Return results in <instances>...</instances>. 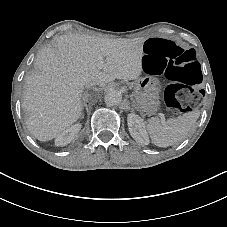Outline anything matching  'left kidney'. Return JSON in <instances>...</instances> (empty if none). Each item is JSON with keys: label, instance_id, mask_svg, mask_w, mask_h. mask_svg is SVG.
I'll use <instances>...</instances> for the list:
<instances>
[{"label": "left kidney", "instance_id": "obj_1", "mask_svg": "<svg viewBox=\"0 0 227 227\" xmlns=\"http://www.w3.org/2000/svg\"><path fill=\"white\" fill-rule=\"evenodd\" d=\"M128 129L131 136L139 143L148 145L149 137L145 129L143 119L136 114H128Z\"/></svg>", "mask_w": 227, "mask_h": 227}]
</instances>
